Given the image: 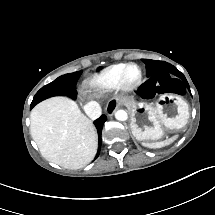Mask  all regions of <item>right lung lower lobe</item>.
I'll return each mask as SVG.
<instances>
[{
  "mask_svg": "<svg viewBox=\"0 0 215 215\" xmlns=\"http://www.w3.org/2000/svg\"><path fill=\"white\" fill-rule=\"evenodd\" d=\"M107 120V117L105 115H102L100 118H98L97 120H95V126L98 130V135H99V148H98V153L96 155V158L99 155L100 149H101V132H102V127L104 122Z\"/></svg>",
  "mask_w": 215,
  "mask_h": 215,
  "instance_id": "98d812e1",
  "label": "right lung lower lobe"
}]
</instances>
